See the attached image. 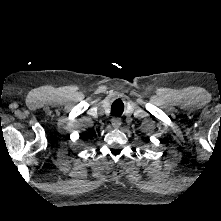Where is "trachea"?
<instances>
[{
  "mask_svg": "<svg viewBox=\"0 0 221 221\" xmlns=\"http://www.w3.org/2000/svg\"><path fill=\"white\" fill-rule=\"evenodd\" d=\"M124 111V104L121 100H116L111 107L112 116H121Z\"/></svg>",
  "mask_w": 221,
  "mask_h": 221,
  "instance_id": "obj_1",
  "label": "trachea"
}]
</instances>
